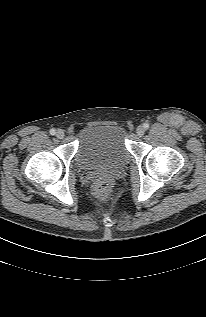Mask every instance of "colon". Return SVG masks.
<instances>
[{
	"label": "colon",
	"instance_id": "5ec220e1",
	"mask_svg": "<svg viewBox=\"0 0 206 317\" xmlns=\"http://www.w3.org/2000/svg\"><path fill=\"white\" fill-rule=\"evenodd\" d=\"M92 191L98 199H111L114 194L113 181L108 177L98 178L93 184Z\"/></svg>",
	"mask_w": 206,
	"mask_h": 317
}]
</instances>
